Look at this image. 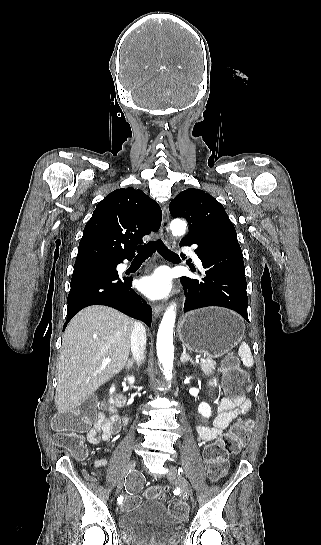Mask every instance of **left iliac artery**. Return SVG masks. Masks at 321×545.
Listing matches in <instances>:
<instances>
[{
    "label": "left iliac artery",
    "mask_w": 321,
    "mask_h": 545,
    "mask_svg": "<svg viewBox=\"0 0 321 545\" xmlns=\"http://www.w3.org/2000/svg\"><path fill=\"white\" fill-rule=\"evenodd\" d=\"M181 472H182V469H181V468H179V470H178V473L180 474Z\"/></svg>",
    "instance_id": "1"
}]
</instances>
